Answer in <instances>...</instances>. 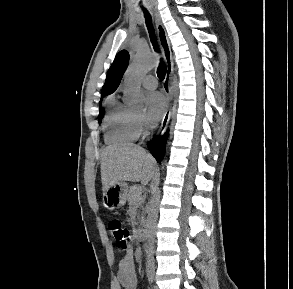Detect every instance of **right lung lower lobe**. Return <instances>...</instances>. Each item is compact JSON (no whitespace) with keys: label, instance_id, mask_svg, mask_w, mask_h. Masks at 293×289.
Listing matches in <instances>:
<instances>
[{"label":"right lung lower lobe","instance_id":"98d812e1","mask_svg":"<svg viewBox=\"0 0 293 289\" xmlns=\"http://www.w3.org/2000/svg\"><path fill=\"white\" fill-rule=\"evenodd\" d=\"M168 137V132L162 137L156 138L154 141L149 143L148 148L155 159L160 162L163 159L165 153V146Z\"/></svg>","mask_w":293,"mask_h":289}]
</instances>
